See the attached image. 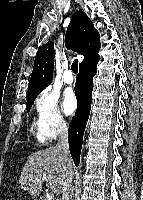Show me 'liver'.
<instances>
[{"label": "liver", "mask_w": 143, "mask_h": 200, "mask_svg": "<svg viewBox=\"0 0 143 200\" xmlns=\"http://www.w3.org/2000/svg\"><path fill=\"white\" fill-rule=\"evenodd\" d=\"M46 173V179L43 175ZM72 160L65 156L60 149L48 147L33 152L27 159L19 179L23 190L28 191L31 196H38L46 183L51 194L59 195L65 180L73 176Z\"/></svg>", "instance_id": "obj_1"}]
</instances>
